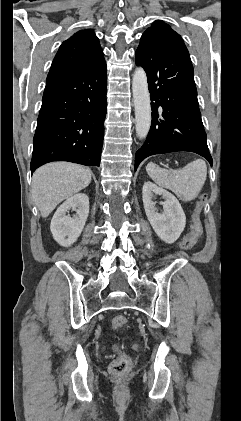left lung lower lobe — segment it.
<instances>
[{"label":"left lung lower lobe","instance_id":"0a47b994","mask_svg":"<svg viewBox=\"0 0 241 421\" xmlns=\"http://www.w3.org/2000/svg\"><path fill=\"white\" fill-rule=\"evenodd\" d=\"M136 64L147 73L152 123L144 145L136 152L135 171L148 156L176 151L197 153L212 165L185 44L143 34Z\"/></svg>","mask_w":241,"mask_h":421}]
</instances>
